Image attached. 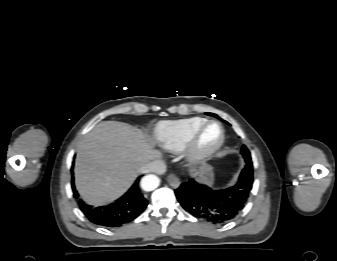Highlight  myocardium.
<instances>
[{"instance_id": "myocardium-1", "label": "myocardium", "mask_w": 337, "mask_h": 261, "mask_svg": "<svg viewBox=\"0 0 337 261\" xmlns=\"http://www.w3.org/2000/svg\"><path fill=\"white\" fill-rule=\"evenodd\" d=\"M211 125H216L219 128L220 137L212 147L208 149H201L199 147V139L204 130ZM224 142L225 130L221 123L214 120L206 121L192 134L187 146L185 147L186 158L192 164H202L210 160L222 148Z\"/></svg>"}]
</instances>
